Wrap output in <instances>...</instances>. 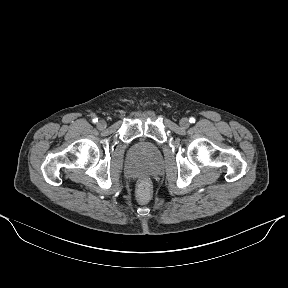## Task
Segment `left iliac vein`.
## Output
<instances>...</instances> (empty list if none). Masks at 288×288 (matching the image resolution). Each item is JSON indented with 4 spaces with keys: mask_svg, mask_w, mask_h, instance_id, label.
Listing matches in <instances>:
<instances>
[{
    "mask_svg": "<svg viewBox=\"0 0 288 288\" xmlns=\"http://www.w3.org/2000/svg\"><path fill=\"white\" fill-rule=\"evenodd\" d=\"M179 124L182 128L186 129L189 127V120L187 118H182Z\"/></svg>",
    "mask_w": 288,
    "mask_h": 288,
    "instance_id": "1",
    "label": "left iliac vein"
}]
</instances>
